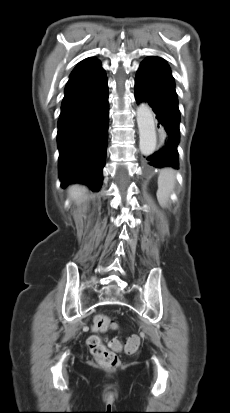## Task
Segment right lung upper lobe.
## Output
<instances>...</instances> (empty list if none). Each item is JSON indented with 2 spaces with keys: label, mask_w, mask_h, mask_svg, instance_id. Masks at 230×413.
Instances as JSON below:
<instances>
[{
  "label": "right lung upper lobe",
  "mask_w": 230,
  "mask_h": 413,
  "mask_svg": "<svg viewBox=\"0 0 230 413\" xmlns=\"http://www.w3.org/2000/svg\"><path fill=\"white\" fill-rule=\"evenodd\" d=\"M100 66L101 63L96 58H86L75 67V69L72 71L70 75V78L95 70Z\"/></svg>",
  "instance_id": "1"
}]
</instances>
